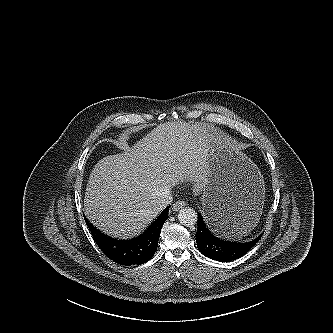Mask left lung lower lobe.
<instances>
[{
	"label": "left lung lower lobe",
	"instance_id": "1",
	"mask_svg": "<svg viewBox=\"0 0 333 333\" xmlns=\"http://www.w3.org/2000/svg\"><path fill=\"white\" fill-rule=\"evenodd\" d=\"M262 234L246 243L221 240L208 230L201 214H198L195 234L198 249L204 256L216 261L228 262L242 257L260 240Z\"/></svg>",
	"mask_w": 333,
	"mask_h": 333
}]
</instances>
